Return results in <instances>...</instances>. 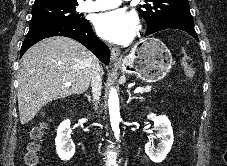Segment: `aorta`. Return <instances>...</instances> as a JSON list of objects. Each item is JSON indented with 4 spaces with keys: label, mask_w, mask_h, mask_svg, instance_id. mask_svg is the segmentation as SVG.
<instances>
[{
    "label": "aorta",
    "mask_w": 227,
    "mask_h": 166,
    "mask_svg": "<svg viewBox=\"0 0 227 166\" xmlns=\"http://www.w3.org/2000/svg\"><path fill=\"white\" fill-rule=\"evenodd\" d=\"M108 106H109V114H110V122L112 129L114 131L115 137L119 139V122H120V108H119V98L117 91L112 88L109 93L108 99Z\"/></svg>",
    "instance_id": "762f6f07"
}]
</instances>
